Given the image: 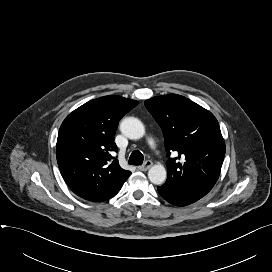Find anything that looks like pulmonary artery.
Returning <instances> with one entry per match:
<instances>
[{
	"label": "pulmonary artery",
	"mask_w": 272,
	"mask_h": 272,
	"mask_svg": "<svg viewBox=\"0 0 272 272\" xmlns=\"http://www.w3.org/2000/svg\"><path fill=\"white\" fill-rule=\"evenodd\" d=\"M149 144H150V146H151L152 148L155 147V141H154V139H153L152 137L149 138Z\"/></svg>",
	"instance_id": "1"
}]
</instances>
